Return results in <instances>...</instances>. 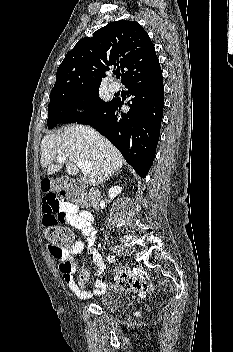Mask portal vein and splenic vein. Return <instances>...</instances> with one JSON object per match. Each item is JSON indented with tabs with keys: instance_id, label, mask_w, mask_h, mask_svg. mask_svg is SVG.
Here are the masks:
<instances>
[{
	"instance_id": "18ae733b",
	"label": "portal vein and splenic vein",
	"mask_w": 233,
	"mask_h": 352,
	"mask_svg": "<svg viewBox=\"0 0 233 352\" xmlns=\"http://www.w3.org/2000/svg\"><path fill=\"white\" fill-rule=\"evenodd\" d=\"M57 161L63 163L66 161V157H57ZM77 166L81 169L84 175H88L91 171V165L88 162L78 161Z\"/></svg>"
}]
</instances>
